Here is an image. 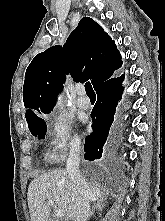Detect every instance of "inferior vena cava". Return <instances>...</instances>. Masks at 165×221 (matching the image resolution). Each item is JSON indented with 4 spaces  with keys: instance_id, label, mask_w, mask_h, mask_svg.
<instances>
[{
    "instance_id": "inferior-vena-cava-1",
    "label": "inferior vena cava",
    "mask_w": 165,
    "mask_h": 221,
    "mask_svg": "<svg viewBox=\"0 0 165 221\" xmlns=\"http://www.w3.org/2000/svg\"><path fill=\"white\" fill-rule=\"evenodd\" d=\"M79 165L80 144L76 143L70 150L66 169L76 192L77 203L75 221H87L90 213V200H92L93 194L80 174Z\"/></svg>"
}]
</instances>
